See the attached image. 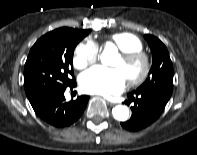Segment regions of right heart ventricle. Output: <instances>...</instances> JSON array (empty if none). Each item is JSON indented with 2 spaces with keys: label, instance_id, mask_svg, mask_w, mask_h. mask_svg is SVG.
Returning a JSON list of instances; mask_svg holds the SVG:
<instances>
[{
  "label": "right heart ventricle",
  "instance_id": "right-heart-ventricle-1",
  "mask_svg": "<svg viewBox=\"0 0 197 155\" xmlns=\"http://www.w3.org/2000/svg\"><path fill=\"white\" fill-rule=\"evenodd\" d=\"M106 42L115 45L120 51H136L143 48L141 39L129 32L112 34Z\"/></svg>",
  "mask_w": 197,
  "mask_h": 155
}]
</instances>
